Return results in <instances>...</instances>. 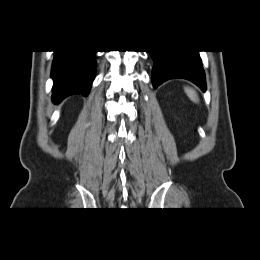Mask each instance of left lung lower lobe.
Returning <instances> with one entry per match:
<instances>
[{
  "instance_id": "0a47b994",
  "label": "left lung lower lobe",
  "mask_w": 260,
  "mask_h": 260,
  "mask_svg": "<svg viewBox=\"0 0 260 260\" xmlns=\"http://www.w3.org/2000/svg\"><path fill=\"white\" fill-rule=\"evenodd\" d=\"M198 52V50L150 51L154 61L152 71L154 88L169 79L182 78L195 83L205 91V73Z\"/></svg>"
}]
</instances>
